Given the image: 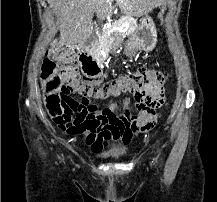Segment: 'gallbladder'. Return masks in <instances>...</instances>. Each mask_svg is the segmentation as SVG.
I'll return each instance as SVG.
<instances>
[{"label": "gallbladder", "mask_w": 217, "mask_h": 202, "mask_svg": "<svg viewBox=\"0 0 217 202\" xmlns=\"http://www.w3.org/2000/svg\"><path fill=\"white\" fill-rule=\"evenodd\" d=\"M98 34H96L95 30H93V34H91L90 38H88V44H93L94 40H97Z\"/></svg>", "instance_id": "gallbladder-1"}]
</instances>
